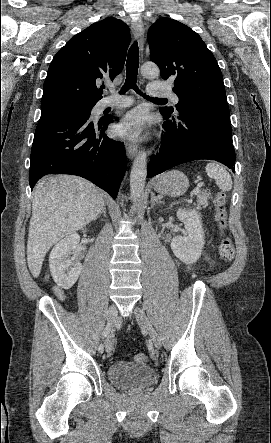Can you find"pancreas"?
<instances>
[{"label": "pancreas", "mask_w": 271, "mask_h": 443, "mask_svg": "<svg viewBox=\"0 0 271 443\" xmlns=\"http://www.w3.org/2000/svg\"><path fill=\"white\" fill-rule=\"evenodd\" d=\"M211 194L210 192H200L198 194V204L196 210H202V208H207L208 200H210Z\"/></svg>", "instance_id": "pancreas-1"}]
</instances>
